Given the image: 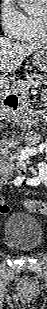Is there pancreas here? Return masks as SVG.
I'll return each mask as SVG.
<instances>
[{
  "label": "pancreas",
  "mask_w": 47,
  "mask_h": 309,
  "mask_svg": "<svg viewBox=\"0 0 47 309\" xmlns=\"http://www.w3.org/2000/svg\"><path fill=\"white\" fill-rule=\"evenodd\" d=\"M39 81H41L43 84L47 83V75H37L36 76ZM33 82V79H27V80H18L15 81L12 85V91L16 92L17 94H20L21 97L24 99L25 104L22 105L21 109L18 110L14 114V121L21 127L30 126V120L29 117L31 116V112L29 111L28 105H27V91L29 88L20 86L22 83H31Z\"/></svg>",
  "instance_id": "1"
}]
</instances>
